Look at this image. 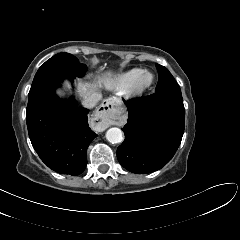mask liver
<instances>
[{"instance_id":"obj_1","label":"liver","mask_w":240,"mask_h":240,"mask_svg":"<svg viewBox=\"0 0 240 240\" xmlns=\"http://www.w3.org/2000/svg\"><path fill=\"white\" fill-rule=\"evenodd\" d=\"M107 76L110 77L111 73L107 72L104 77H107ZM102 81L103 80H100L99 83H101ZM99 83H82V82H79L77 92L82 98H85V97L91 95L92 93H94L98 89V86H99L98 84ZM66 85H67V87H69V85L67 83H66Z\"/></svg>"}]
</instances>
